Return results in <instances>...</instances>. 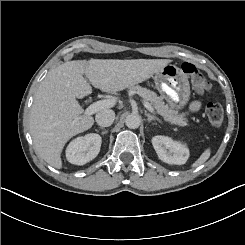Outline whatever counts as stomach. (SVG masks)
<instances>
[{
	"instance_id": "stomach-1",
	"label": "stomach",
	"mask_w": 245,
	"mask_h": 245,
	"mask_svg": "<svg viewBox=\"0 0 245 245\" xmlns=\"http://www.w3.org/2000/svg\"><path fill=\"white\" fill-rule=\"evenodd\" d=\"M154 82L164 99L172 105L182 106L187 102L190 86L181 68L167 63L154 74Z\"/></svg>"
}]
</instances>
